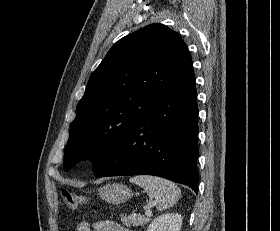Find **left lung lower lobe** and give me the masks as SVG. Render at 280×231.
Returning <instances> with one entry per match:
<instances>
[{
  "mask_svg": "<svg viewBox=\"0 0 280 231\" xmlns=\"http://www.w3.org/2000/svg\"><path fill=\"white\" fill-rule=\"evenodd\" d=\"M194 73L167 91L113 147L96 177L154 175L198 189Z\"/></svg>",
  "mask_w": 280,
  "mask_h": 231,
  "instance_id": "left-lung-lower-lobe-1",
  "label": "left lung lower lobe"
}]
</instances>
